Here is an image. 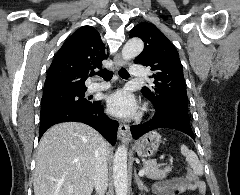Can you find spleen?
<instances>
[{
  "instance_id": "3e777b00",
  "label": "spleen",
  "mask_w": 240,
  "mask_h": 195,
  "mask_svg": "<svg viewBox=\"0 0 240 195\" xmlns=\"http://www.w3.org/2000/svg\"><path fill=\"white\" fill-rule=\"evenodd\" d=\"M181 153L182 155H185L186 161H188L189 165H191L194 173L196 175H202L203 173V165L201 161H199L195 151H192V149H188L187 145H180Z\"/></svg>"
}]
</instances>
